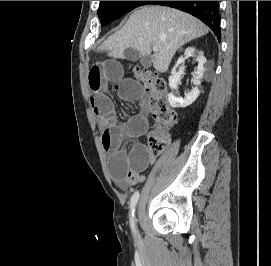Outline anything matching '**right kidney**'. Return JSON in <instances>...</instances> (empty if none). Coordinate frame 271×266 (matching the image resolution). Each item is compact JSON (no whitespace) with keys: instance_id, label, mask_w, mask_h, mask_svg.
Instances as JSON below:
<instances>
[{"instance_id":"obj_1","label":"right kidney","mask_w":271,"mask_h":266,"mask_svg":"<svg viewBox=\"0 0 271 266\" xmlns=\"http://www.w3.org/2000/svg\"><path fill=\"white\" fill-rule=\"evenodd\" d=\"M195 56L196 61L198 62L197 70L194 73V84L197 85L191 92L187 93L184 98L180 97L177 93V88L180 83L181 74L183 73L184 68H181L179 71L176 70V68L180 65H182L185 60L190 57ZM206 63V58L198 51L195 50L193 47H188L184 51L183 56H181L176 66L172 69L171 75L169 76V86L172 89V92L168 94V100L170 105L173 108H185L189 105H191L199 96L200 90L198 88V85L201 84V80L204 76V72L206 71V68L204 67V64Z\"/></svg>"}]
</instances>
